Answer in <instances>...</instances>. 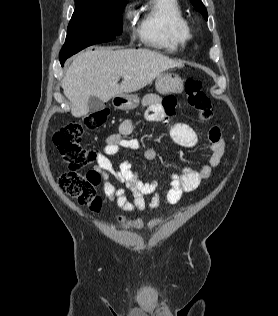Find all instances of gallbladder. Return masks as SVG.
Listing matches in <instances>:
<instances>
[{"instance_id":"1","label":"gallbladder","mask_w":278,"mask_h":316,"mask_svg":"<svg viewBox=\"0 0 278 316\" xmlns=\"http://www.w3.org/2000/svg\"><path fill=\"white\" fill-rule=\"evenodd\" d=\"M104 107H105V104L101 99L95 96L89 97L88 99L89 113H95V112L101 111L102 109H104Z\"/></svg>"}]
</instances>
